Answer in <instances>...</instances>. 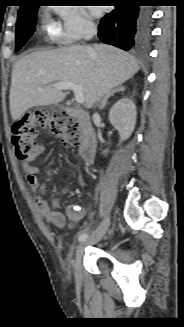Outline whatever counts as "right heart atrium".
<instances>
[{"instance_id":"obj_1","label":"right heart atrium","mask_w":184,"mask_h":327,"mask_svg":"<svg viewBox=\"0 0 184 327\" xmlns=\"http://www.w3.org/2000/svg\"><path fill=\"white\" fill-rule=\"evenodd\" d=\"M94 30V23L88 14L76 5L58 9L57 19L48 22L51 39L63 45L84 40L91 36Z\"/></svg>"}]
</instances>
